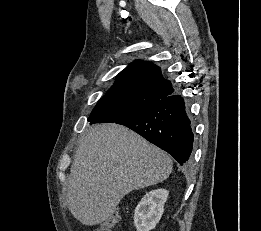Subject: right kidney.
Listing matches in <instances>:
<instances>
[{"mask_svg": "<svg viewBox=\"0 0 261 231\" xmlns=\"http://www.w3.org/2000/svg\"><path fill=\"white\" fill-rule=\"evenodd\" d=\"M168 195L169 192L165 189L146 193L134 213V225L137 231H150L155 228L164 212V204Z\"/></svg>", "mask_w": 261, "mask_h": 231, "instance_id": "ca27d5eb", "label": "right kidney"}]
</instances>
